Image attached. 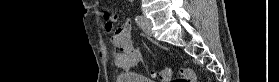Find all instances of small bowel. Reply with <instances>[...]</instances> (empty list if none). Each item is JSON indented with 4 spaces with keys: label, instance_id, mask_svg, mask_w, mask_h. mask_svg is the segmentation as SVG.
<instances>
[{
    "label": "small bowel",
    "instance_id": "c3829d8e",
    "mask_svg": "<svg viewBox=\"0 0 279 82\" xmlns=\"http://www.w3.org/2000/svg\"><path fill=\"white\" fill-rule=\"evenodd\" d=\"M116 19L115 16L114 20ZM113 26V21L104 24V29L108 31L111 42L119 49L114 55V63L118 67L131 68L142 58L139 47H136L131 40L132 24L125 22L116 30Z\"/></svg>",
    "mask_w": 279,
    "mask_h": 82
}]
</instances>
